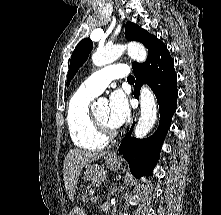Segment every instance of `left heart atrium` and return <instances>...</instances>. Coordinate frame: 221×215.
<instances>
[{
    "instance_id": "obj_1",
    "label": "left heart atrium",
    "mask_w": 221,
    "mask_h": 215,
    "mask_svg": "<svg viewBox=\"0 0 221 215\" xmlns=\"http://www.w3.org/2000/svg\"><path fill=\"white\" fill-rule=\"evenodd\" d=\"M130 116L126 95L121 90L112 92L109 100L108 123L113 128L122 126Z\"/></svg>"
}]
</instances>
